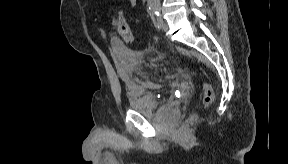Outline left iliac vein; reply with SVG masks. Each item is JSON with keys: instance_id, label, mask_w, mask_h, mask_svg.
<instances>
[{"instance_id": "1", "label": "left iliac vein", "mask_w": 288, "mask_h": 164, "mask_svg": "<svg viewBox=\"0 0 288 164\" xmlns=\"http://www.w3.org/2000/svg\"><path fill=\"white\" fill-rule=\"evenodd\" d=\"M158 26L162 31H166L168 28L166 21L161 16L158 17Z\"/></svg>"}]
</instances>
